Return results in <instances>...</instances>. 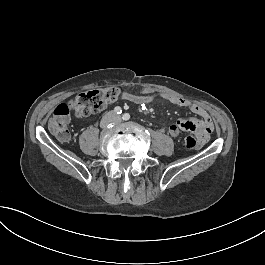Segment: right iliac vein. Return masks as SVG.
<instances>
[{
  "label": "right iliac vein",
  "mask_w": 265,
  "mask_h": 265,
  "mask_svg": "<svg viewBox=\"0 0 265 265\" xmlns=\"http://www.w3.org/2000/svg\"><path fill=\"white\" fill-rule=\"evenodd\" d=\"M113 121H114L113 113L109 112L101 120L100 126L101 127H106L109 123H111Z\"/></svg>",
  "instance_id": "obj_1"
}]
</instances>
